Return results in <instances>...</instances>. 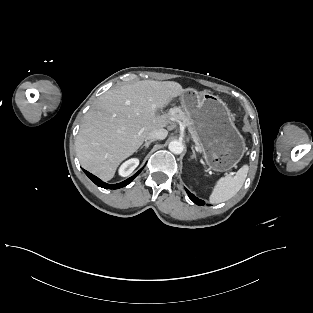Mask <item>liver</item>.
Returning <instances> with one entry per match:
<instances>
[{
    "label": "liver",
    "mask_w": 313,
    "mask_h": 313,
    "mask_svg": "<svg viewBox=\"0 0 313 313\" xmlns=\"http://www.w3.org/2000/svg\"><path fill=\"white\" fill-rule=\"evenodd\" d=\"M177 82L138 81L110 89L86 113L76 138L81 166L104 181L143 144L153 130L170 124L178 109L157 115L183 93Z\"/></svg>",
    "instance_id": "6515ba94"
}]
</instances>
